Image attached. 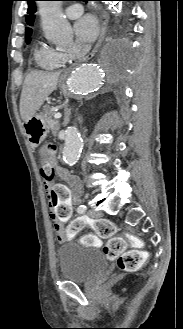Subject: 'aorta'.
Wrapping results in <instances>:
<instances>
[{
	"label": "aorta",
	"mask_w": 183,
	"mask_h": 329,
	"mask_svg": "<svg viewBox=\"0 0 183 329\" xmlns=\"http://www.w3.org/2000/svg\"><path fill=\"white\" fill-rule=\"evenodd\" d=\"M61 1H40L39 12L42 19V29L46 38L62 48L72 44L73 34L70 23L63 18ZM113 11L120 9L118 2H109ZM105 61L79 66L70 76L69 88L75 92L91 93L99 89L104 77ZM82 139L75 127H68L65 131L63 159L69 165H74L81 152Z\"/></svg>",
	"instance_id": "762f6f07"
}]
</instances>
